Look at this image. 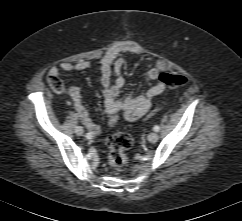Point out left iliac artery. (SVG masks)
Listing matches in <instances>:
<instances>
[{
  "label": "left iliac artery",
  "instance_id": "44dca946",
  "mask_svg": "<svg viewBox=\"0 0 242 221\" xmlns=\"http://www.w3.org/2000/svg\"><path fill=\"white\" fill-rule=\"evenodd\" d=\"M153 129H154V131L158 132L160 130V127L156 125V126H154Z\"/></svg>",
  "mask_w": 242,
  "mask_h": 221
}]
</instances>
